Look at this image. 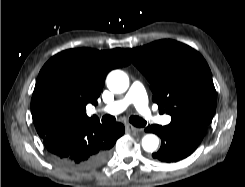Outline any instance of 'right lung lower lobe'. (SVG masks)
Returning <instances> with one entry per match:
<instances>
[{
  "label": "right lung lower lobe",
  "mask_w": 245,
  "mask_h": 187,
  "mask_svg": "<svg viewBox=\"0 0 245 187\" xmlns=\"http://www.w3.org/2000/svg\"><path fill=\"white\" fill-rule=\"evenodd\" d=\"M125 132L121 123L105 127L99 120L57 128L43 142L56 161L73 171H91L110 157V149Z\"/></svg>",
  "instance_id": "1"
}]
</instances>
